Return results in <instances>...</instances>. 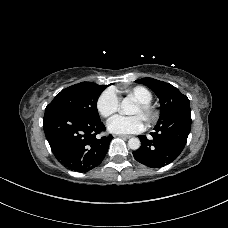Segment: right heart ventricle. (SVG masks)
Here are the masks:
<instances>
[{
  "label": "right heart ventricle",
  "mask_w": 228,
  "mask_h": 228,
  "mask_svg": "<svg viewBox=\"0 0 228 228\" xmlns=\"http://www.w3.org/2000/svg\"><path fill=\"white\" fill-rule=\"evenodd\" d=\"M122 92V91H119ZM126 95L134 102L151 103L152 92L144 86H134L125 90Z\"/></svg>",
  "instance_id": "right-heart-ventricle-1"
}]
</instances>
